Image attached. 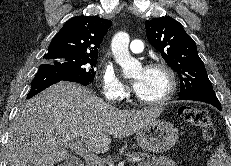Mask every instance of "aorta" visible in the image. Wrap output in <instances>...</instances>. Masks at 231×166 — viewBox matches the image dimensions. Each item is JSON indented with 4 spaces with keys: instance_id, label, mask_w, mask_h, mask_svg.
I'll return each instance as SVG.
<instances>
[{
    "instance_id": "obj_1",
    "label": "aorta",
    "mask_w": 231,
    "mask_h": 166,
    "mask_svg": "<svg viewBox=\"0 0 231 166\" xmlns=\"http://www.w3.org/2000/svg\"><path fill=\"white\" fill-rule=\"evenodd\" d=\"M128 45L129 35L126 32L117 33L111 43L114 58L121 66L125 77L133 76L141 69V63L130 55Z\"/></svg>"
}]
</instances>
